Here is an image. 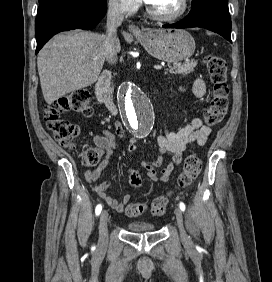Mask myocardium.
Instances as JSON below:
<instances>
[{
	"mask_svg": "<svg viewBox=\"0 0 272 282\" xmlns=\"http://www.w3.org/2000/svg\"><path fill=\"white\" fill-rule=\"evenodd\" d=\"M181 2H182L181 10L173 15H164V14L158 13L154 11L149 6V4H147L146 10H147V13L154 19H158L162 21H175V20L182 18L187 13L188 8H189V0H181Z\"/></svg>",
	"mask_w": 272,
	"mask_h": 282,
	"instance_id": "myocardium-1",
	"label": "myocardium"
}]
</instances>
